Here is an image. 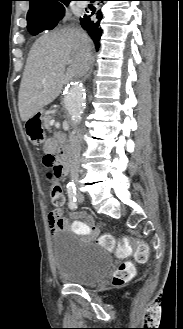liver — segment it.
<instances>
[{
    "mask_svg": "<svg viewBox=\"0 0 183 329\" xmlns=\"http://www.w3.org/2000/svg\"><path fill=\"white\" fill-rule=\"evenodd\" d=\"M86 48L92 52L93 44L80 28L49 32L36 40L19 89L18 106L22 121H28L54 101L66 82L83 75L79 55Z\"/></svg>",
    "mask_w": 183,
    "mask_h": 329,
    "instance_id": "liver-1",
    "label": "liver"
}]
</instances>
